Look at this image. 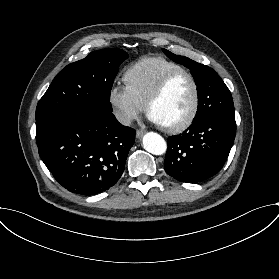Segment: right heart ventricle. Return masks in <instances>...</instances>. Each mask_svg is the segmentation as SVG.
Instances as JSON below:
<instances>
[{
  "label": "right heart ventricle",
  "instance_id": "right-heart-ventricle-1",
  "mask_svg": "<svg viewBox=\"0 0 279 279\" xmlns=\"http://www.w3.org/2000/svg\"><path fill=\"white\" fill-rule=\"evenodd\" d=\"M185 68L164 57H146L136 62L125 75L127 85L145 102L162 79Z\"/></svg>",
  "mask_w": 279,
  "mask_h": 279
}]
</instances>
